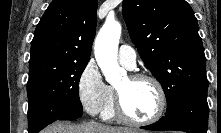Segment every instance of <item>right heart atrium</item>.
I'll return each instance as SVG.
<instances>
[{
    "label": "right heart atrium",
    "instance_id": "1",
    "mask_svg": "<svg viewBox=\"0 0 221 133\" xmlns=\"http://www.w3.org/2000/svg\"><path fill=\"white\" fill-rule=\"evenodd\" d=\"M77 96L82 108L91 115L101 114L110 100L109 86L92 60L84 66L78 77Z\"/></svg>",
    "mask_w": 221,
    "mask_h": 133
}]
</instances>
